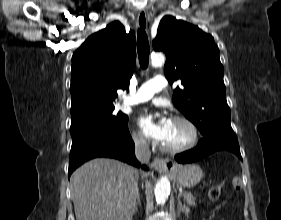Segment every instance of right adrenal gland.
Instances as JSON below:
<instances>
[{
    "instance_id": "1",
    "label": "right adrenal gland",
    "mask_w": 281,
    "mask_h": 220,
    "mask_svg": "<svg viewBox=\"0 0 281 220\" xmlns=\"http://www.w3.org/2000/svg\"><path fill=\"white\" fill-rule=\"evenodd\" d=\"M138 206H141V197H140L139 193L137 195V202H136V205H135V212H137Z\"/></svg>"
}]
</instances>
